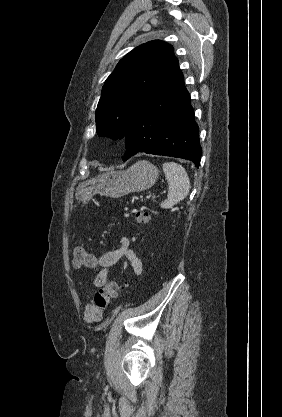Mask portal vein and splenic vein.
<instances>
[{
  "label": "portal vein and splenic vein",
  "mask_w": 282,
  "mask_h": 417,
  "mask_svg": "<svg viewBox=\"0 0 282 417\" xmlns=\"http://www.w3.org/2000/svg\"><path fill=\"white\" fill-rule=\"evenodd\" d=\"M154 196H155V193L150 192L149 194H144L143 197H142V200L147 201V200H149L150 197H154Z\"/></svg>",
  "instance_id": "portal-vein-and-splenic-vein-1"
}]
</instances>
